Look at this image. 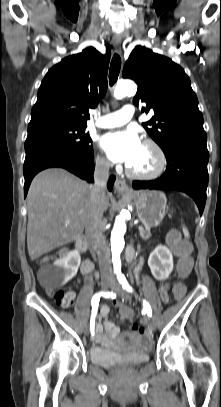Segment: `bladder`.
<instances>
[{"mask_svg":"<svg viewBox=\"0 0 221 407\" xmlns=\"http://www.w3.org/2000/svg\"><path fill=\"white\" fill-rule=\"evenodd\" d=\"M89 358L92 364L109 368L119 365L136 366L144 363L148 356L144 352L125 354L109 347L93 346L89 350Z\"/></svg>","mask_w":221,"mask_h":407,"instance_id":"obj_1","label":"bladder"}]
</instances>
